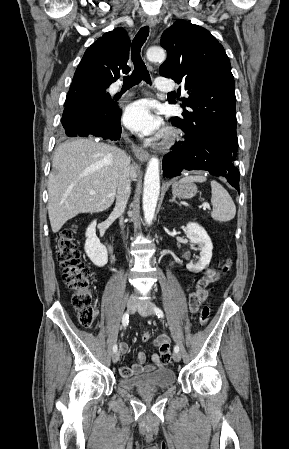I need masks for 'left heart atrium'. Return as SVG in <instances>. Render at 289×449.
Instances as JSON below:
<instances>
[{"instance_id": "obj_1", "label": "left heart atrium", "mask_w": 289, "mask_h": 449, "mask_svg": "<svg viewBox=\"0 0 289 449\" xmlns=\"http://www.w3.org/2000/svg\"><path fill=\"white\" fill-rule=\"evenodd\" d=\"M123 122L129 129L143 136L156 137L162 131V120L154 113L148 100H139L128 105Z\"/></svg>"}]
</instances>
